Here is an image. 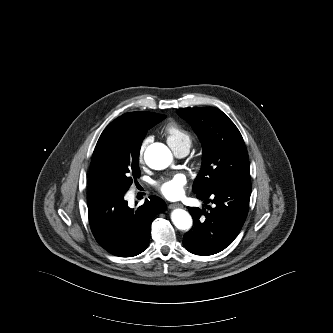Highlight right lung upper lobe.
I'll list each match as a JSON object with an SVG mask.
<instances>
[{"label":"right lung upper lobe","instance_id":"cb5924a9","mask_svg":"<svg viewBox=\"0 0 333 333\" xmlns=\"http://www.w3.org/2000/svg\"><path fill=\"white\" fill-rule=\"evenodd\" d=\"M151 112H130L123 114L110 123L103 131L104 134L110 133L115 137H130L137 132V130L143 125L149 124L156 118L162 117ZM166 117V116H165ZM102 192L99 187L93 181V177L90 173L89 180V193Z\"/></svg>","mask_w":333,"mask_h":333}]
</instances>
